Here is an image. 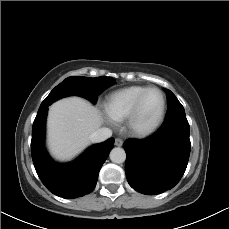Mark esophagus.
<instances>
[{"label":"esophagus","instance_id":"esophagus-1","mask_svg":"<svg viewBox=\"0 0 229 229\" xmlns=\"http://www.w3.org/2000/svg\"><path fill=\"white\" fill-rule=\"evenodd\" d=\"M115 145L118 146V147H120V146L123 145V141L120 138H116L115 139Z\"/></svg>","mask_w":229,"mask_h":229}]
</instances>
